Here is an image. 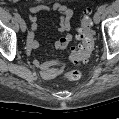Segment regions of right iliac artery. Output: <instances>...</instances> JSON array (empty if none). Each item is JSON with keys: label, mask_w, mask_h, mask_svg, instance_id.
Wrapping results in <instances>:
<instances>
[{"label": "right iliac artery", "mask_w": 119, "mask_h": 119, "mask_svg": "<svg viewBox=\"0 0 119 119\" xmlns=\"http://www.w3.org/2000/svg\"><path fill=\"white\" fill-rule=\"evenodd\" d=\"M15 19L18 20V21H20V20H21V16H20V14L15 13Z\"/></svg>", "instance_id": "82829eb1"}]
</instances>
